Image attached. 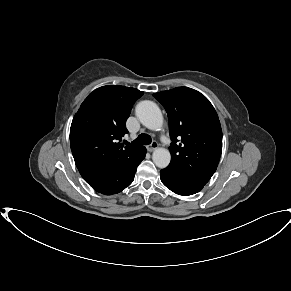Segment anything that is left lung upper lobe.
<instances>
[{
	"label": "left lung upper lobe",
	"mask_w": 291,
	"mask_h": 291,
	"mask_svg": "<svg viewBox=\"0 0 291 291\" xmlns=\"http://www.w3.org/2000/svg\"><path fill=\"white\" fill-rule=\"evenodd\" d=\"M153 96L168 115L172 139L168 166L207 183L217 169L222 152V130L214 107L204 95L188 87H177Z\"/></svg>",
	"instance_id": "left-lung-upper-lobe-1"
}]
</instances>
